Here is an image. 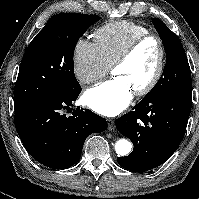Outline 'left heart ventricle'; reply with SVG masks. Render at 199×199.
<instances>
[{
  "mask_svg": "<svg viewBox=\"0 0 199 199\" xmlns=\"http://www.w3.org/2000/svg\"><path fill=\"white\" fill-rule=\"evenodd\" d=\"M158 58L157 43L154 40H147L125 64L115 69L113 74L122 77L134 91L150 80L156 69Z\"/></svg>",
  "mask_w": 199,
  "mask_h": 199,
  "instance_id": "left-heart-ventricle-1",
  "label": "left heart ventricle"
}]
</instances>
